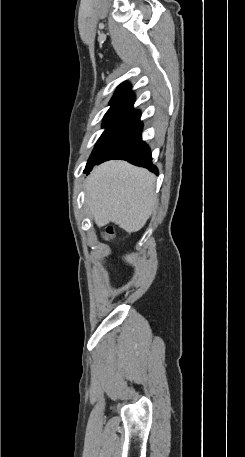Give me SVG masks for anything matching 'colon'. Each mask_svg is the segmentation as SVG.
<instances>
[{
	"instance_id": "1",
	"label": "colon",
	"mask_w": 245,
	"mask_h": 457,
	"mask_svg": "<svg viewBox=\"0 0 245 457\" xmlns=\"http://www.w3.org/2000/svg\"><path fill=\"white\" fill-rule=\"evenodd\" d=\"M114 235H115V233H114L113 228L112 227H108L105 230V232L103 234V237H104L105 240L110 241V240L113 239Z\"/></svg>"
}]
</instances>
